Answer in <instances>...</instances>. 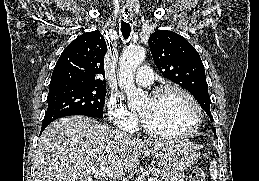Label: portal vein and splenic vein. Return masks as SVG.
I'll return each instance as SVG.
<instances>
[{
    "mask_svg": "<svg viewBox=\"0 0 259 181\" xmlns=\"http://www.w3.org/2000/svg\"><path fill=\"white\" fill-rule=\"evenodd\" d=\"M88 173L89 174H93L96 177H98V176H107V175H109L110 170L107 169V168H100V169L92 168V169L88 170ZM122 181H128V179L127 178H123ZM148 181H158V180L156 178H149Z\"/></svg>",
    "mask_w": 259,
    "mask_h": 181,
    "instance_id": "1",
    "label": "portal vein and splenic vein"
}]
</instances>
